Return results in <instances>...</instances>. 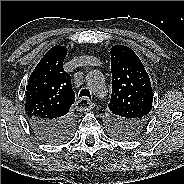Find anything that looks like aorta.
Here are the masks:
<instances>
[{
	"mask_svg": "<svg viewBox=\"0 0 184 184\" xmlns=\"http://www.w3.org/2000/svg\"><path fill=\"white\" fill-rule=\"evenodd\" d=\"M89 88L95 95H98L101 89L104 87L103 75L100 71L94 70L87 74L86 77Z\"/></svg>",
	"mask_w": 184,
	"mask_h": 184,
	"instance_id": "obj_1",
	"label": "aorta"
}]
</instances>
